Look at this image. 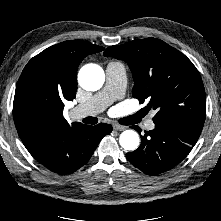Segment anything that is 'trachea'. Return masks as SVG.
Masks as SVG:
<instances>
[{"label":"trachea","mask_w":221,"mask_h":221,"mask_svg":"<svg viewBox=\"0 0 221 221\" xmlns=\"http://www.w3.org/2000/svg\"><path fill=\"white\" fill-rule=\"evenodd\" d=\"M87 123L88 124H95V123H97V118H95V117H88L87 118Z\"/></svg>","instance_id":"trachea-1"}]
</instances>
